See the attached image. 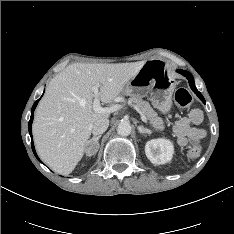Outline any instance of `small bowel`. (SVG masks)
<instances>
[{"instance_id": "small-bowel-1", "label": "small bowel", "mask_w": 234, "mask_h": 234, "mask_svg": "<svg viewBox=\"0 0 234 234\" xmlns=\"http://www.w3.org/2000/svg\"><path fill=\"white\" fill-rule=\"evenodd\" d=\"M203 120V113L199 109H193L188 116L176 121L174 133L180 146L185 147L193 141H199L206 135L204 129L196 127Z\"/></svg>"}]
</instances>
